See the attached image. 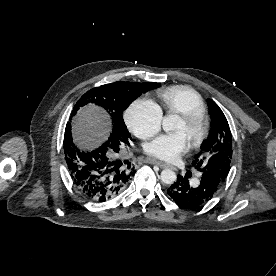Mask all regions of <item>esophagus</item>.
Masks as SVG:
<instances>
[{
	"mask_svg": "<svg viewBox=\"0 0 276 276\" xmlns=\"http://www.w3.org/2000/svg\"><path fill=\"white\" fill-rule=\"evenodd\" d=\"M146 162H147V163H151V164H156V165H158L160 168H167V167L170 166L169 164H167V163H165V162L157 161V160L151 159V158L146 159Z\"/></svg>",
	"mask_w": 276,
	"mask_h": 276,
	"instance_id": "esophagus-1",
	"label": "esophagus"
}]
</instances>
